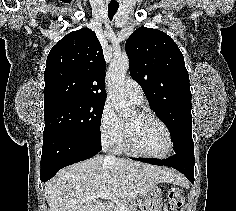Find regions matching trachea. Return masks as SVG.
Masks as SVG:
<instances>
[{
    "mask_svg": "<svg viewBox=\"0 0 236 211\" xmlns=\"http://www.w3.org/2000/svg\"><path fill=\"white\" fill-rule=\"evenodd\" d=\"M118 10V6H108V16H109V19L112 20L114 15L116 14Z\"/></svg>",
    "mask_w": 236,
    "mask_h": 211,
    "instance_id": "trachea-1",
    "label": "trachea"
}]
</instances>
